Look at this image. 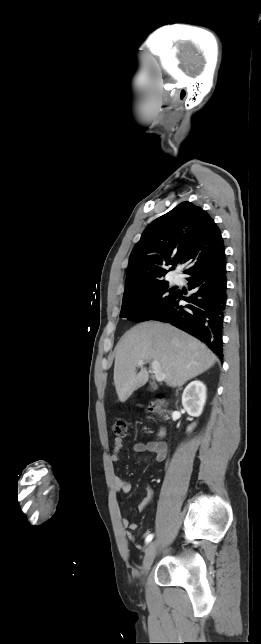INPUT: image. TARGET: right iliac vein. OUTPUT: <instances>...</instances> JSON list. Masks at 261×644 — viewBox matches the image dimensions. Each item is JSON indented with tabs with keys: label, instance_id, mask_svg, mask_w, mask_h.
Returning <instances> with one entry per match:
<instances>
[{
	"label": "right iliac vein",
	"instance_id": "right-iliac-vein-1",
	"mask_svg": "<svg viewBox=\"0 0 261 644\" xmlns=\"http://www.w3.org/2000/svg\"><path fill=\"white\" fill-rule=\"evenodd\" d=\"M156 546H157L156 542H151L146 549L145 557L142 565L143 574H146L150 570L153 564V561L155 559V554H156Z\"/></svg>",
	"mask_w": 261,
	"mask_h": 644
}]
</instances>
